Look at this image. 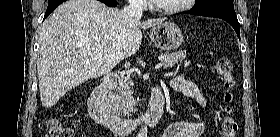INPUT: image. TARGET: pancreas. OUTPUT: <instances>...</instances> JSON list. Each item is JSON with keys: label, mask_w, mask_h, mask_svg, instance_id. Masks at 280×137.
<instances>
[{"label": "pancreas", "mask_w": 280, "mask_h": 137, "mask_svg": "<svg viewBox=\"0 0 280 137\" xmlns=\"http://www.w3.org/2000/svg\"><path fill=\"white\" fill-rule=\"evenodd\" d=\"M186 58V53L183 51L175 53L160 54L159 59L164 63V67H173L176 63L181 62ZM134 83L128 77L121 79L119 81V87L115 92L110 93L107 100L108 109L115 114H129L133 106L135 105V100L133 98V87Z\"/></svg>", "instance_id": "obj_1"}]
</instances>
